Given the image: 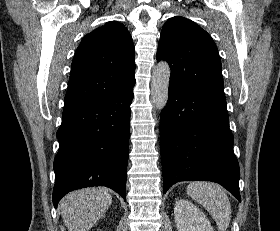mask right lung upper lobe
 I'll return each instance as SVG.
<instances>
[{"label": "right lung upper lobe", "mask_w": 280, "mask_h": 231, "mask_svg": "<svg viewBox=\"0 0 280 231\" xmlns=\"http://www.w3.org/2000/svg\"><path fill=\"white\" fill-rule=\"evenodd\" d=\"M134 57L131 35L120 22H107L86 35L73 58L64 110L131 91Z\"/></svg>", "instance_id": "right-lung-upper-lobe-1"}]
</instances>
